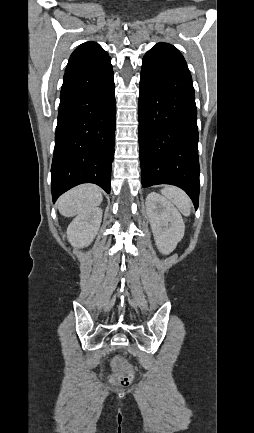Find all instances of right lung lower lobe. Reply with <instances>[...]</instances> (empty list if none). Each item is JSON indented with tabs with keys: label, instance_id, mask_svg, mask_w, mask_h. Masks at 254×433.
Returning a JSON list of instances; mask_svg holds the SVG:
<instances>
[{
	"label": "right lung lower lobe",
	"instance_id": "obj_1",
	"mask_svg": "<svg viewBox=\"0 0 254 433\" xmlns=\"http://www.w3.org/2000/svg\"><path fill=\"white\" fill-rule=\"evenodd\" d=\"M111 58L64 74L51 167L53 202L82 183L110 193L116 107Z\"/></svg>",
	"mask_w": 254,
	"mask_h": 433
}]
</instances>
